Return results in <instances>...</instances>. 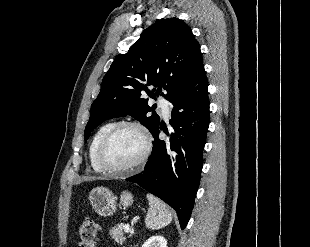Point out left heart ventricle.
Instances as JSON below:
<instances>
[{
  "label": "left heart ventricle",
  "mask_w": 310,
  "mask_h": 247,
  "mask_svg": "<svg viewBox=\"0 0 310 247\" xmlns=\"http://www.w3.org/2000/svg\"><path fill=\"white\" fill-rule=\"evenodd\" d=\"M144 141L134 128L120 130L107 144L103 160L111 168H121L133 163L142 153Z\"/></svg>",
  "instance_id": "obj_1"
}]
</instances>
